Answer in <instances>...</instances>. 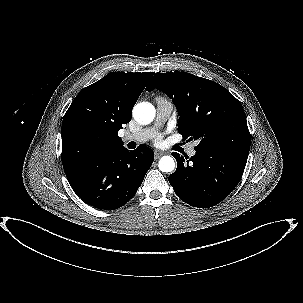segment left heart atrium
I'll list each match as a JSON object with an SVG mask.
<instances>
[{"label":"left heart atrium","mask_w":303,"mask_h":303,"mask_svg":"<svg viewBox=\"0 0 303 303\" xmlns=\"http://www.w3.org/2000/svg\"><path fill=\"white\" fill-rule=\"evenodd\" d=\"M155 141H156L157 143H159V142L161 141V136H160V135H157V136L155 137Z\"/></svg>","instance_id":"obj_1"}]
</instances>
